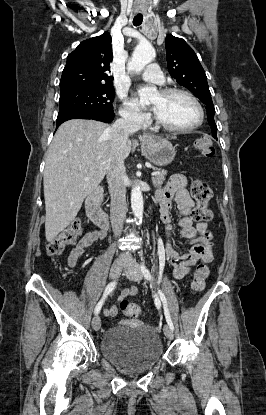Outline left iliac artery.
<instances>
[{
    "mask_svg": "<svg viewBox=\"0 0 266 415\" xmlns=\"http://www.w3.org/2000/svg\"><path fill=\"white\" fill-rule=\"evenodd\" d=\"M141 271H142V274L144 275L145 279H147L148 281L153 280L150 271L147 269V267L143 263L141 264ZM161 278H162V271H160V273H159L158 282L161 281ZM158 293H159L160 299L163 303L164 314H165L166 321H167L169 327L172 330H174L173 322L171 320L170 313H169V310H168V307H167L166 297H165V295L163 294L162 291L159 290Z\"/></svg>",
    "mask_w": 266,
    "mask_h": 415,
    "instance_id": "left-iliac-artery-1",
    "label": "left iliac artery"
}]
</instances>
